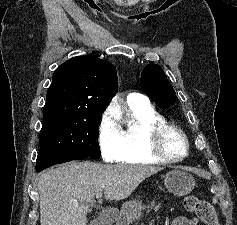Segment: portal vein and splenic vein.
I'll list each match as a JSON object with an SVG mask.
<instances>
[{
    "label": "portal vein and splenic vein",
    "mask_w": 237,
    "mask_h": 225,
    "mask_svg": "<svg viewBox=\"0 0 237 225\" xmlns=\"http://www.w3.org/2000/svg\"><path fill=\"white\" fill-rule=\"evenodd\" d=\"M102 196V191L101 192H98L97 194H96V198L98 199V198H100Z\"/></svg>",
    "instance_id": "1"
}]
</instances>
